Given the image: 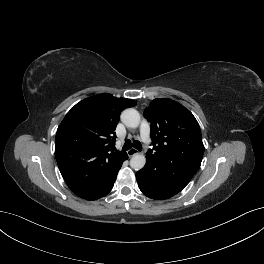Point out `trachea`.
Listing matches in <instances>:
<instances>
[{"label":"trachea","mask_w":264,"mask_h":264,"mask_svg":"<svg viewBox=\"0 0 264 264\" xmlns=\"http://www.w3.org/2000/svg\"><path fill=\"white\" fill-rule=\"evenodd\" d=\"M134 147L135 149L141 151L142 150V145L139 141H134L133 143H131L130 140H126L125 144L123 146V150H129L131 147Z\"/></svg>","instance_id":"1"}]
</instances>
